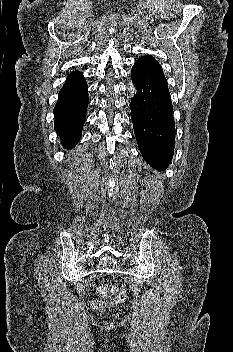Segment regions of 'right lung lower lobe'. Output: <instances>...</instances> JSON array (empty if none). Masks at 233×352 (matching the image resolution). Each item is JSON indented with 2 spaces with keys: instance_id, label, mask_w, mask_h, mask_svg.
<instances>
[{
  "instance_id": "98d812e1",
  "label": "right lung lower lobe",
  "mask_w": 233,
  "mask_h": 352,
  "mask_svg": "<svg viewBox=\"0 0 233 352\" xmlns=\"http://www.w3.org/2000/svg\"><path fill=\"white\" fill-rule=\"evenodd\" d=\"M87 83L78 72L67 77L54 108V129L65 148L74 147L81 138L88 106Z\"/></svg>"
}]
</instances>
